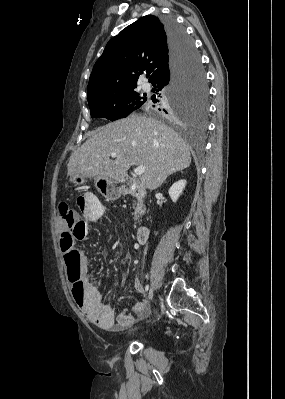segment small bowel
Listing matches in <instances>:
<instances>
[{"label":"small bowel","instance_id":"c3829d8e","mask_svg":"<svg viewBox=\"0 0 285 399\" xmlns=\"http://www.w3.org/2000/svg\"><path fill=\"white\" fill-rule=\"evenodd\" d=\"M86 203L84 205L81 218L79 219L80 231L83 236L88 234V225L102 218L104 206L92 194L85 195ZM124 260L122 263L124 264ZM68 272L73 270V265L66 261ZM76 267L84 284V293L77 298L75 289L70 286V294L74 302L82 309L88 320L102 329L122 331L131 327L137 321L146 319L150 312L146 306L145 300H140L132 306L131 313L121 312L115 314L110 305L105 303L100 292L87 277L88 261L85 255L80 254ZM135 288L141 293L142 284L138 278L134 279Z\"/></svg>","mask_w":285,"mask_h":399}]
</instances>
